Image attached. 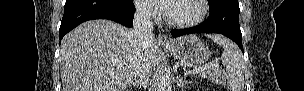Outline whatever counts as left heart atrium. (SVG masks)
I'll list each match as a JSON object with an SVG mask.
<instances>
[{
    "mask_svg": "<svg viewBox=\"0 0 304 91\" xmlns=\"http://www.w3.org/2000/svg\"><path fill=\"white\" fill-rule=\"evenodd\" d=\"M168 2L166 0H147L146 3L149 4L150 6L162 10V11H167L168 7Z\"/></svg>",
    "mask_w": 304,
    "mask_h": 91,
    "instance_id": "39dd6f15",
    "label": "left heart atrium"
}]
</instances>
